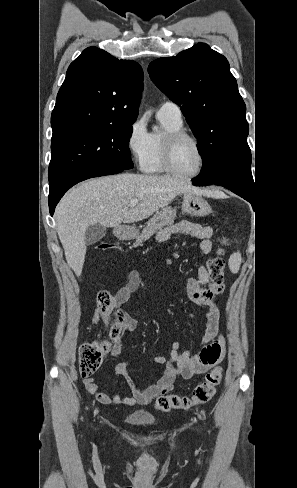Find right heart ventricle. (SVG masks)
I'll return each instance as SVG.
<instances>
[{
    "instance_id": "right-heart-ventricle-1",
    "label": "right heart ventricle",
    "mask_w": 297,
    "mask_h": 488,
    "mask_svg": "<svg viewBox=\"0 0 297 488\" xmlns=\"http://www.w3.org/2000/svg\"><path fill=\"white\" fill-rule=\"evenodd\" d=\"M165 127L166 134L182 130L183 124L168 119H160ZM165 135L150 134L149 152L142 169L148 173L162 174L165 169L161 161L162 141Z\"/></svg>"
}]
</instances>
